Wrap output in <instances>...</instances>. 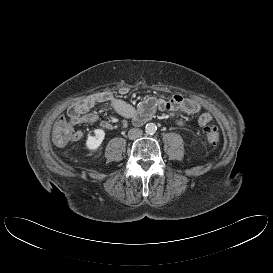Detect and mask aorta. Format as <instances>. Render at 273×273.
I'll list each match as a JSON object with an SVG mask.
<instances>
[{
	"mask_svg": "<svg viewBox=\"0 0 273 273\" xmlns=\"http://www.w3.org/2000/svg\"><path fill=\"white\" fill-rule=\"evenodd\" d=\"M157 130V126L154 123H148L145 126V131L147 134H154Z\"/></svg>",
	"mask_w": 273,
	"mask_h": 273,
	"instance_id": "obj_1",
	"label": "aorta"
}]
</instances>
